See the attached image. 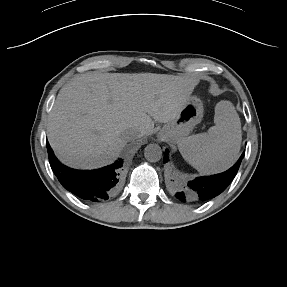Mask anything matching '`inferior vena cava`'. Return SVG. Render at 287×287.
<instances>
[{
  "instance_id": "obj_1",
  "label": "inferior vena cava",
  "mask_w": 287,
  "mask_h": 287,
  "mask_svg": "<svg viewBox=\"0 0 287 287\" xmlns=\"http://www.w3.org/2000/svg\"><path fill=\"white\" fill-rule=\"evenodd\" d=\"M122 136L125 141L129 142L139 137H142L143 132H138L135 129H127L126 131L123 132Z\"/></svg>"
}]
</instances>
